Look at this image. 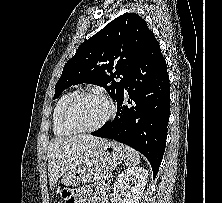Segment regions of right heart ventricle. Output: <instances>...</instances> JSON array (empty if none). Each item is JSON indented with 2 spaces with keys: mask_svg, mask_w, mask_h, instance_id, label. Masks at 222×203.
Returning <instances> with one entry per match:
<instances>
[{
  "mask_svg": "<svg viewBox=\"0 0 222 203\" xmlns=\"http://www.w3.org/2000/svg\"><path fill=\"white\" fill-rule=\"evenodd\" d=\"M75 93L77 92L69 91L63 94L55 105L52 121H53V131L56 136L65 137V136H70L75 133V131L71 130L64 124L63 118H62L63 109L66 103Z\"/></svg>",
  "mask_w": 222,
  "mask_h": 203,
  "instance_id": "e07e8e85",
  "label": "right heart ventricle"
}]
</instances>
